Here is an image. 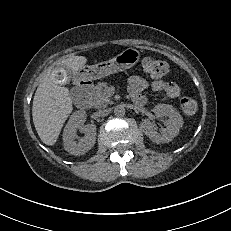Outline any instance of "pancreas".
I'll return each instance as SVG.
<instances>
[{
  "mask_svg": "<svg viewBox=\"0 0 231 231\" xmlns=\"http://www.w3.org/2000/svg\"><path fill=\"white\" fill-rule=\"evenodd\" d=\"M107 83L99 82L91 94V105L95 108H104L113 101L110 99V94L107 92Z\"/></svg>",
  "mask_w": 231,
  "mask_h": 231,
  "instance_id": "obj_1",
  "label": "pancreas"
}]
</instances>
